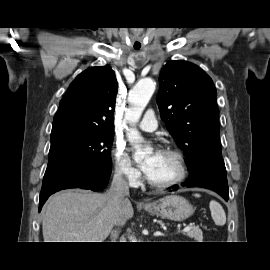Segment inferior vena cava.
Segmentation results:
<instances>
[{
    "mask_svg": "<svg viewBox=\"0 0 270 270\" xmlns=\"http://www.w3.org/2000/svg\"><path fill=\"white\" fill-rule=\"evenodd\" d=\"M108 193L114 197V200L118 204L122 203L125 197L129 195L128 183L123 178L120 170H116ZM111 238L114 240L113 242H116L115 240L118 238V232L116 230L111 232Z\"/></svg>",
    "mask_w": 270,
    "mask_h": 270,
    "instance_id": "602c4592",
    "label": "inferior vena cava"
}]
</instances>
